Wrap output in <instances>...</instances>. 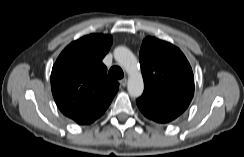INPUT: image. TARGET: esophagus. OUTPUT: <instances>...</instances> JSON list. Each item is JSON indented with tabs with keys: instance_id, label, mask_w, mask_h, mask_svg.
<instances>
[{
	"instance_id": "esophagus-1",
	"label": "esophagus",
	"mask_w": 244,
	"mask_h": 157,
	"mask_svg": "<svg viewBox=\"0 0 244 157\" xmlns=\"http://www.w3.org/2000/svg\"><path fill=\"white\" fill-rule=\"evenodd\" d=\"M120 84L122 87H125L127 85V78H123L122 80H120Z\"/></svg>"
}]
</instances>
